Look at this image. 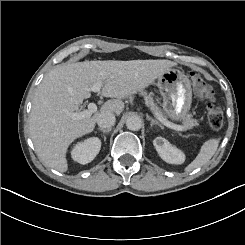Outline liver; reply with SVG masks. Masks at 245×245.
Masks as SVG:
<instances>
[{"label": "liver", "instance_id": "liver-1", "mask_svg": "<svg viewBox=\"0 0 245 245\" xmlns=\"http://www.w3.org/2000/svg\"><path fill=\"white\" fill-rule=\"evenodd\" d=\"M174 64L170 60H92L56 66L38 85L29 119L38 157L55 170H66L64 154L68 145L91 132L97 122V115L72 119L79 104L91 96L89 86L101 81L99 91L107 97L135 93ZM122 109L121 99L108 101L102 107V111L116 113Z\"/></svg>", "mask_w": 245, "mask_h": 245}]
</instances>
